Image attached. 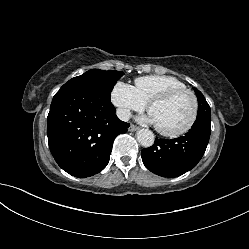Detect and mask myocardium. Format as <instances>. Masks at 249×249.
Instances as JSON below:
<instances>
[{"instance_id": "myocardium-1", "label": "myocardium", "mask_w": 249, "mask_h": 249, "mask_svg": "<svg viewBox=\"0 0 249 249\" xmlns=\"http://www.w3.org/2000/svg\"><path fill=\"white\" fill-rule=\"evenodd\" d=\"M180 94H188L191 97L192 105H193L192 114H191V117H190L189 121L187 122V124L179 130L167 131V130L161 129L160 127L157 126L156 128H157L158 132L166 137H179L181 135L186 134L194 126V124L197 120L198 111H199V103H198V98H197L196 94L192 90H190L186 87L175 88V89H171L169 91H166V92L154 97L148 104V110H149V112H151L152 108L155 105L167 102V101L171 100L172 98H174Z\"/></svg>"}]
</instances>
